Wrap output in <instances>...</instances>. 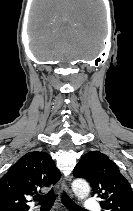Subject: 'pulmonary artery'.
<instances>
[{"instance_id":"obj_1","label":"pulmonary artery","mask_w":133,"mask_h":211,"mask_svg":"<svg viewBox=\"0 0 133 211\" xmlns=\"http://www.w3.org/2000/svg\"><path fill=\"white\" fill-rule=\"evenodd\" d=\"M84 206L86 209H89V210L100 211L98 202L93 198L86 199Z\"/></svg>"}]
</instances>
